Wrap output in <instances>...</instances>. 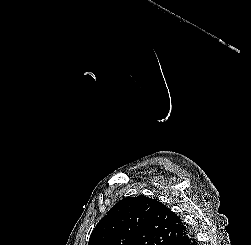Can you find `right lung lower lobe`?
<instances>
[{"instance_id":"obj_1","label":"right lung lower lobe","mask_w":251,"mask_h":245,"mask_svg":"<svg viewBox=\"0 0 251 245\" xmlns=\"http://www.w3.org/2000/svg\"><path fill=\"white\" fill-rule=\"evenodd\" d=\"M170 245H197V241L194 234L188 229L186 234H184L173 243H170Z\"/></svg>"}]
</instances>
